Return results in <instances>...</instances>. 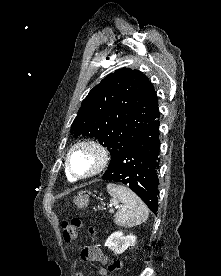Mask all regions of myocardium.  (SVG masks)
I'll list each match as a JSON object with an SVG mask.
<instances>
[{"instance_id":"obj_1","label":"myocardium","mask_w":221,"mask_h":276,"mask_svg":"<svg viewBox=\"0 0 221 276\" xmlns=\"http://www.w3.org/2000/svg\"><path fill=\"white\" fill-rule=\"evenodd\" d=\"M81 149L90 151L94 155L96 161L92 170H90L86 174L78 175L74 173L71 168V156L75 151L81 150ZM108 161H109L108 151L102 144L94 140H82L73 144L67 151L66 158H65V166H66L67 173L70 177L76 180H85V179L93 178L99 175L101 172H103L108 164Z\"/></svg>"}]
</instances>
